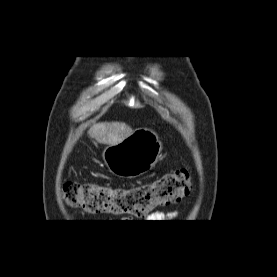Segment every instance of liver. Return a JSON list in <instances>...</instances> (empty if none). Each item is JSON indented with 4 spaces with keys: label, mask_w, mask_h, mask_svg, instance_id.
<instances>
[{
    "label": "liver",
    "mask_w": 277,
    "mask_h": 277,
    "mask_svg": "<svg viewBox=\"0 0 277 277\" xmlns=\"http://www.w3.org/2000/svg\"><path fill=\"white\" fill-rule=\"evenodd\" d=\"M134 131L121 122H101L94 124L88 134L101 144L116 145L129 137Z\"/></svg>",
    "instance_id": "liver-1"
}]
</instances>
